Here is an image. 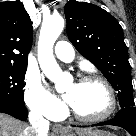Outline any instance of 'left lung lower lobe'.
I'll use <instances>...</instances> for the list:
<instances>
[{
    "label": "left lung lower lobe",
    "mask_w": 136,
    "mask_h": 136,
    "mask_svg": "<svg viewBox=\"0 0 136 136\" xmlns=\"http://www.w3.org/2000/svg\"><path fill=\"white\" fill-rule=\"evenodd\" d=\"M114 125L127 130L132 136H136V107L121 109L114 119L98 123L94 126Z\"/></svg>",
    "instance_id": "1"
}]
</instances>
